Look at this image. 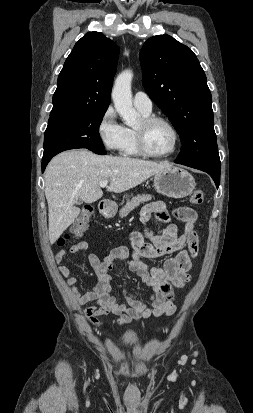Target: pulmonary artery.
Segmentation results:
<instances>
[{
    "label": "pulmonary artery",
    "instance_id": "1",
    "mask_svg": "<svg viewBox=\"0 0 253 413\" xmlns=\"http://www.w3.org/2000/svg\"><path fill=\"white\" fill-rule=\"evenodd\" d=\"M134 106L143 112L150 113L152 111V100L144 92H136L133 97Z\"/></svg>",
    "mask_w": 253,
    "mask_h": 413
}]
</instances>
